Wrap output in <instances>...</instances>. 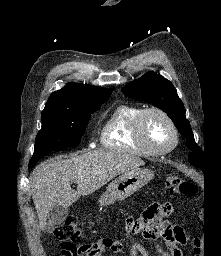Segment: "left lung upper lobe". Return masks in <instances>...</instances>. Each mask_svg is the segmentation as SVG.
Returning a JSON list of instances; mask_svg holds the SVG:
<instances>
[{
    "instance_id": "1",
    "label": "left lung upper lobe",
    "mask_w": 221,
    "mask_h": 256,
    "mask_svg": "<svg viewBox=\"0 0 221 256\" xmlns=\"http://www.w3.org/2000/svg\"><path fill=\"white\" fill-rule=\"evenodd\" d=\"M122 92L133 99L152 103L166 112L179 132L187 139L186 146L192 150L189 162L197 167H204V152L195 143L190 123L185 118L184 105L170 81L151 71L123 87Z\"/></svg>"
}]
</instances>
